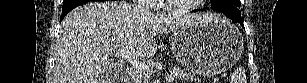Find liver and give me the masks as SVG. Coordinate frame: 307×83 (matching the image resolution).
I'll return each instance as SVG.
<instances>
[{"label":"liver","mask_w":307,"mask_h":83,"mask_svg":"<svg viewBox=\"0 0 307 83\" xmlns=\"http://www.w3.org/2000/svg\"><path fill=\"white\" fill-rule=\"evenodd\" d=\"M221 20L210 13L183 17L157 15L119 1L78 6L62 20L55 45L53 83H113L104 78L109 58L126 49L141 60L157 51V38L184 25Z\"/></svg>","instance_id":"1"}]
</instances>
